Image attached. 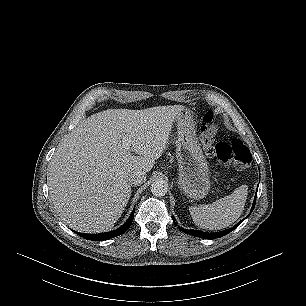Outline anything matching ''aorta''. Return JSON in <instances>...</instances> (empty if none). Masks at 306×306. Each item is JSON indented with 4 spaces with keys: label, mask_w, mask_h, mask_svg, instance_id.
<instances>
[{
    "label": "aorta",
    "mask_w": 306,
    "mask_h": 306,
    "mask_svg": "<svg viewBox=\"0 0 306 306\" xmlns=\"http://www.w3.org/2000/svg\"><path fill=\"white\" fill-rule=\"evenodd\" d=\"M168 191V185L164 180L157 179L151 184V192L155 196H164Z\"/></svg>",
    "instance_id": "762f6f07"
}]
</instances>
